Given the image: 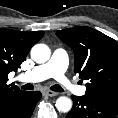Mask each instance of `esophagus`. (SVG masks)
I'll use <instances>...</instances> for the list:
<instances>
[{
    "label": "esophagus",
    "mask_w": 118,
    "mask_h": 118,
    "mask_svg": "<svg viewBox=\"0 0 118 118\" xmlns=\"http://www.w3.org/2000/svg\"><path fill=\"white\" fill-rule=\"evenodd\" d=\"M45 94H46L47 96H50V97H53V96L58 95L57 92H53V91H50V90L45 91Z\"/></svg>",
    "instance_id": "1"
}]
</instances>
